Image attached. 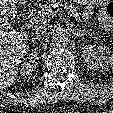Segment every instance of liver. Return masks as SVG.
<instances>
[{
	"instance_id": "liver-1",
	"label": "liver",
	"mask_w": 113,
	"mask_h": 113,
	"mask_svg": "<svg viewBox=\"0 0 113 113\" xmlns=\"http://www.w3.org/2000/svg\"><path fill=\"white\" fill-rule=\"evenodd\" d=\"M28 0H0V89L9 88L15 81L19 64L26 52L28 33L13 29L11 20L17 13V4ZM32 1V0H30Z\"/></svg>"
}]
</instances>
